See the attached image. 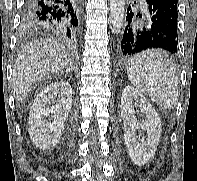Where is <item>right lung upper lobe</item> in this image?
Segmentation results:
<instances>
[{
    "mask_svg": "<svg viewBox=\"0 0 197 181\" xmlns=\"http://www.w3.org/2000/svg\"><path fill=\"white\" fill-rule=\"evenodd\" d=\"M28 29H33V30H46L47 28L42 27V26H34V27H29Z\"/></svg>",
    "mask_w": 197,
    "mask_h": 181,
    "instance_id": "cb5924a9",
    "label": "right lung upper lobe"
}]
</instances>
